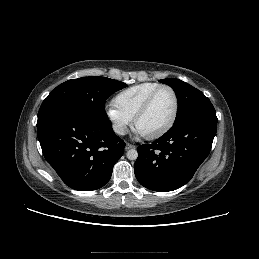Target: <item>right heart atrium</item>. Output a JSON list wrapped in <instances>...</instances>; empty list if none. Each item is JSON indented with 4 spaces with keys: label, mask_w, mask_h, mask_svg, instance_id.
<instances>
[{
    "label": "right heart atrium",
    "mask_w": 259,
    "mask_h": 259,
    "mask_svg": "<svg viewBox=\"0 0 259 259\" xmlns=\"http://www.w3.org/2000/svg\"><path fill=\"white\" fill-rule=\"evenodd\" d=\"M105 115L114 132L118 135H123L126 133L128 126L131 124V119L123 114L116 106L107 105L105 108Z\"/></svg>",
    "instance_id": "1"
}]
</instances>
